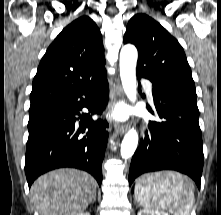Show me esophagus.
<instances>
[{"label":"esophagus","mask_w":221,"mask_h":215,"mask_svg":"<svg viewBox=\"0 0 221 215\" xmlns=\"http://www.w3.org/2000/svg\"><path fill=\"white\" fill-rule=\"evenodd\" d=\"M113 97L115 99H123V97H124L123 89H122V86H121L120 81L118 79H116V86L114 89ZM114 127L118 133L123 134L124 132H126V130L128 128V124L115 123Z\"/></svg>","instance_id":"34e87169"}]
</instances>
